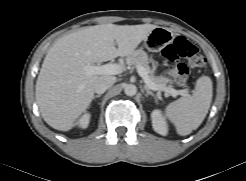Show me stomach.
I'll return each instance as SVG.
<instances>
[{
    "mask_svg": "<svg viewBox=\"0 0 246 181\" xmlns=\"http://www.w3.org/2000/svg\"><path fill=\"white\" fill-rule=\"evenodd\" d=\"M174 38L171 30L165 27H156L145 38V47L152 52L159 51L170 44Z\"/></svg>",
    "mask_w": 246,
    "mask_h": 181,
    "instance_id": "0dacf381",
    "label": "stomach"
}]
</instances>
